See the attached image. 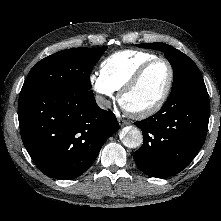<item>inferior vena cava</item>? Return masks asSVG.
Masks as SVG:
<instances>
[{"label":"inferior vena cava","instance_id":"1","mask_svg":"<svg viewBox=\"0 0 221 221\" xmlns=\"http://www.w3.org/2000/svg\"><path fill=\"white\" fill-rule=\"evenodd\" d=\"M97 103H98L99 107H101V108L111 107V102L101 96L97 98Z\"/></svg>","mask_w":221,"mask_h":221}]
</instances>
